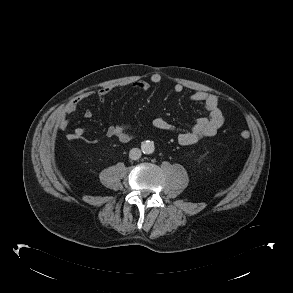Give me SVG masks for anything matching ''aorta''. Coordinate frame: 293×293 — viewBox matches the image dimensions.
Here are the masks:
<instances>
[{"mask_svg":"<svg viewBox=\"0 0 293 293\" xmlns=\"http://www.w3.org/2000/svg\"><path fill=\"white\" fill-rule=\"evenodd\" d=\"M141 150L144 154H151L155 150L154 143L152 141H144L141 144Z\"/></svg>","mask_w":293,"mask_h":293,"instance_id":"762f6f07","label":"aorta"}]
</instances>
